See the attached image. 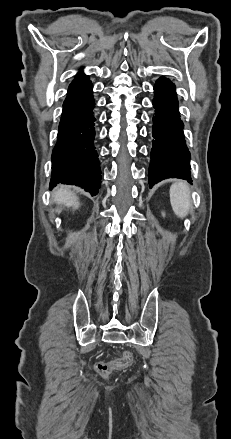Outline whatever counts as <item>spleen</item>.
Segmentation results:
<instances>
[{
  "label": "spleen",
  "instance_id": "obj_1",
  "mask_svg": "<svg viewBox=\"0 0 231 439\" xmlns=\"http://www.w3.org/2000/svg\"><path fill=\"white\" fill-rule=\"evenodd\" d=\"M170 202L174 213L180 217H185L190 209V192L186 182L177 181L170 188Z\"/></svg>",
  "mask_w": 231,
  "mask_h": 439
}]
</instances>
